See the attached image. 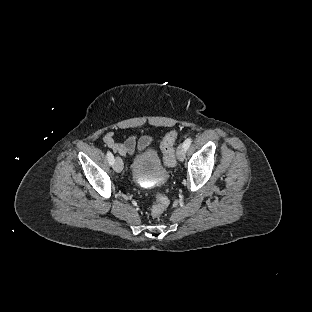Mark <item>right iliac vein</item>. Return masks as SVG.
Returning a JSON list of instances; mask_svg holds the SVG:
<instances>
[{
	"label": "right iliac vein",
	"instance_id": "1",
	"mask_svg": "<svg viewBox=\"0 0 312 312\" xmlns=\"http://www.w3.org/2000/svg\"><path fill=\"white\" fill-rule=\"evenodd\" d=\"M123 169V162L120 157H116L114 160V170L120 173Z\"/></svg>",
	"mask_w": 312,
	"mask_h": 312
}]
</instances>
